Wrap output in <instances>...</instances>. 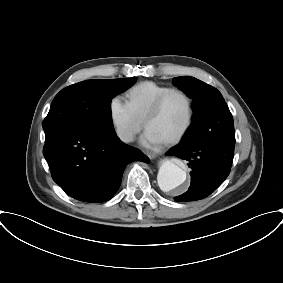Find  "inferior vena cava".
<instances>
[{
    "label": "inferior vena cava",
    "instance_id": "obj_1",
    "mask_svg": "<svg viewBox=\"0 0 283 283\" xmlns=\"http://www.w3.org/2000/svg\"><path fill=\"white\" fill-rule=\"evenodd\" d=\"M119 137L124 142H131V141H133V133L128 131V130L120 131L119 132Z\"/></svg>",
    "mask_w": 283,
    "mask_h": 283
}]
</instances>
